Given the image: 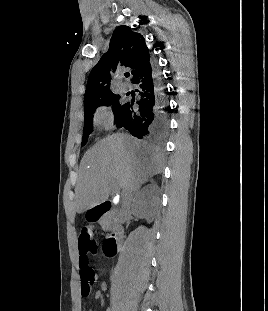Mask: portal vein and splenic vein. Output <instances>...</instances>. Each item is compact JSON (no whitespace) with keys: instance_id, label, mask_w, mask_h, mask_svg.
Wrapping results in <instances>:
<instances>
[{"instance_id":"portal-vein-and-splenic-vein-1","label":"portal vein and splenic vein","mask_w":268,"mask_h":311,"mask_svg":"<svg viewBox=\"0 0 268 311\" xmlns=\"http://www.w3.org/2000/svg\"><path fill=\"white\" fill-rule=\"evenodd\" d=\"M111 188H112L113 190H117V189H118V187H117V185H116L115 183L112 184Z\"/></svg>"}]
</instances>
